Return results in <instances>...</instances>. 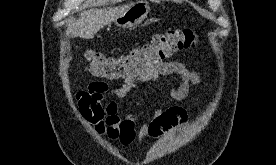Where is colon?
Instances as JSON below:
<instances>
[{
	"label": "colon",
	"mask_w": 276,
	"mask_h": 165,
	"mask_svg": "<svg viewBox=\"0 0 276 165\" xmlns=\"http://www.w3.org/2000/svg\"><path fill=\"white\" fill-rule=\"evenodd\" d=\"M196 34L191 29H173L152 37L150 42L128 54L109 57L88 51L85 55L90 74L110 80H129L148 76L174 52L194 48Z\"/></svg>",
	"instance_id": "colon-1"
}]
</instances>
